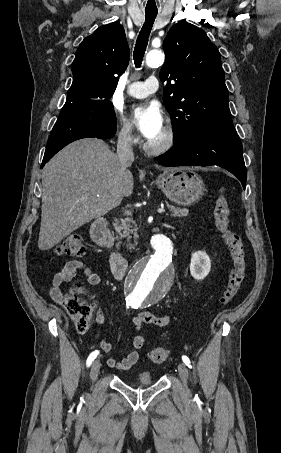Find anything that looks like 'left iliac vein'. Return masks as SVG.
I'll list each match as a JSON object with an SVG mask.
<instances>
[{"label": "left iliac vein", "mask_w": 281, "mask_h": 453, "mask_svg": "<svg viewBox=\"0 0 281 453\" xmlns=\"http://www.w3.org/2000/svg\"><path fill=\"white\" fill-rule=\"evenodd\" d=\"M177 367H178V369H179L180 375H182V376H181V379L184 381V382H183L184 384H183L182 386H183L184 389L186 390L185 392L188 394V393L190 392V391L188 390L189 388H188L187 385H186V384L188 383V382L186 381V380L188 379V376H187L188 368H187V366H185L184 363H179Z\"/></svg>", "instance_id": "obj_1"}]
</instances>
